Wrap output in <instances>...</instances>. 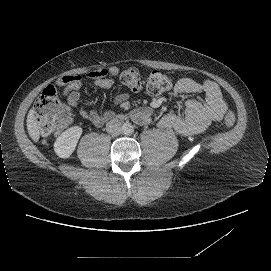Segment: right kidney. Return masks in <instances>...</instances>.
<instances>
[{"instance_id":"ca27d5eb","label":"right kidney","mask_w":271,"mask_h":271,"mask_svg":"<svg viewBox=\"0 0 271 271\" xmlns=\"http://www.w3.org/2000/svg\"><path fill=\"white\" fill-rule=\"evenodd\" d=\"M82 134V128L79 126L71 127L56 139L54 151L60 158H68L76 148L77 142Z\"/></svg>"}]
</instances>
